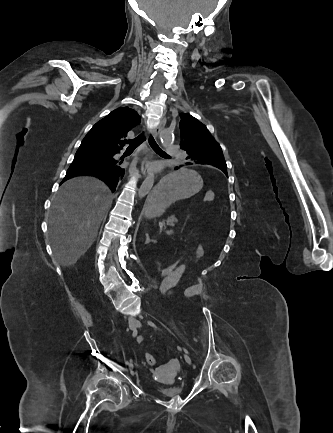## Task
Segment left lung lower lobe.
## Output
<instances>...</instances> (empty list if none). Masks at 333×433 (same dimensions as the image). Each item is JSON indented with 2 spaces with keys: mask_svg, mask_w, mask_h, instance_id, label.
<instances>
[{
  "mask_svg": "<svg viewBox=\"0 0 333 433\" xmlns=\"http://www.w3.org/2000/svg\"><path fill=\"white\" fill-rule=\"evenodd\" d=\"M152 207H153V202L148 201L147 206H146V213H148Z\"/></svg>",
  "mask_w": 333,
  "mask_h": 433,
  "instance_id": "obj_1",
  "label": "left lung lower lobe"
}]
</instances>
